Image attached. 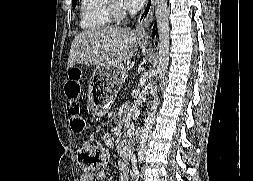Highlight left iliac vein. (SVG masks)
Listing matches in <instances>:
<instances>
[{
    "instance_id": "obj_1",
    "label": "left iliac vein",
    "mask_w": 253,
    "mask_h": 181,
    "mask_svg": "<svg viewBox=\"0 0 253 181\" xmlns=\"http://www.w3.org/2000/svg\"><path fill=\"white\" fill-rule=\"evenodd\" d=\"M142 181H145V179H144V174L142 173Z\"/></svg>"
}]
</instances>
